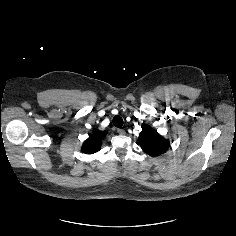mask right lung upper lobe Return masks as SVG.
I'll return each mask as SVG.
<instances>
[{
  "label": "right lung upper lobe",
  "mask_w": 236,
  "mask_h": 236,
  "mask_svg": "<svg viewBox=\"0 0 236 236\" xmlns=\"http://www.w3.org/2000/svg\"><path fill=\"white\" fill-rule=\"evenodd\" d=\"M107 132L95 129L93 134L87 139L82 146V151L85 154H93L100 150L101 140Z\"/></svg>",
  "instance_id": "1"
}]
</instances>
